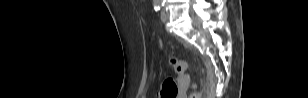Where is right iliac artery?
I'll return each mask as SVG.
<instances>
[{
    "label": "right iliac artery",
    "instance_id": "obj_1",
    "mask_svg": "<svg viewBox=\"0 0 308 98\" xmlns=\"http://www.w3.org/2000/svg\"><path fill=\"white\" fill-rule=\"evenodd\" d=\"M161 6H162V4H161V3H155V5H154V9H155L156 11H159V10H160V8H161Z\"/></svg>",
    "mask_w": 308,
    "mask_h": 98
}]
</instances>
